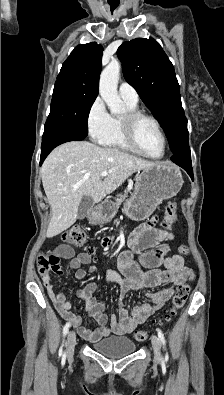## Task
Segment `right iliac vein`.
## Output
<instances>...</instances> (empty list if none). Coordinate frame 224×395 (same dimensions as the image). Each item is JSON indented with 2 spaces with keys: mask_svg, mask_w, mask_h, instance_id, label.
Listing matches in <instances>:
<instances>
[{
  "mask_svg": "<svg viewBox=\"0 0 224 395\" xmlns=\"http://www.w3.org/2000/svg\"><path fill=\"white\" fill-rule=\"evenodd\" d=\"M76 344V334L73 330L68 333L66 342V355L71 357L74 353V348Z\"/></svg>",
  "mask_w": 224,
  "mask_h": 395,
  "instance_id": "obj_1",
  "label": "right iliac vein"
}]
</instances>
